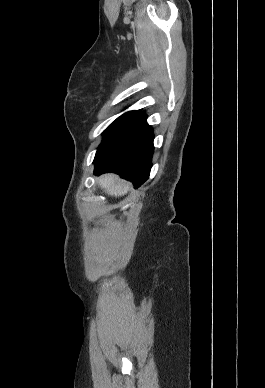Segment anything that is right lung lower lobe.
I'll return each mask as SVG.
<instances>
[{"instance_id":"right-lung-lower-lobe-1","label":"right lung lower lobe","mask_w":265,"mask_h":388,"mask_svg":"<svg viewBox=\"0 0 265 388\" xmlns=\"http://www.w3.org/2000/svg\"><path fill=\"white\" fill-rule=\"evenodd\" d=\"M153 150L152 128L145 113L140 112L99 146L93 161L94 174L115 172L138 188L149 178Z\"/></svg>"}]
</instances>
